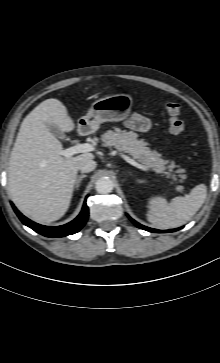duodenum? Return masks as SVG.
<instances>
[{
    "label": "duodenum",
    "instance_id": "1",
    "mask_svg": "<svg viewBox=\"0 0 220 363\" xmlns=\"http://www.w3.org/2000/svg\"><path fill=\"white\" fill-rule=\"evenodd\" d=\"M79 132H80V133H82V132H83V129H82V128H80V129H79Z\"/></svg>",
    "mask_w": 220,
    "mask_h": 363
}]
</instances>
